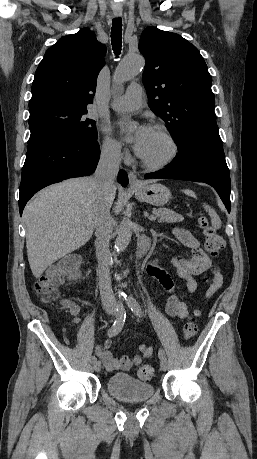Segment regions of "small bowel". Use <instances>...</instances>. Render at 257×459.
<instances>
[{"label": "small bowel", "mask_w": 257, "mask_h": 459, "mask_svg": "<svg viewBox=\"0 0 257 459\" xmlns=\"http://www.w3.org/2000/svg\"><path fill=\"white\" fill-rule=\"evenodd\" d=\"M173 234L183 245L192 251L191 257L173 259L171 263L176 268L177 275L185 281L188 292L193 294L198 288V283L194 277L210 269L212 263L206 252L201 248L200 242L190 231L183 228H175ZM146 272L148 276L157 280L160 286L168 294L165 305L166 313L173 318L185 319L189 315V307L187 303L180 300L176 294L175 284L171 276L160 267L157 262L150 263L146 268ZM223 282V276L215 272L214 279L206 292V299L220 290L223 286ZM66 305L70 313L75 317L74 322L79 323V305L71 301H67ZM193 314L195 316H201L202 311L198 308H194ZM111 344V340L106 339L96 347V354L99 356L108 372L129 370L132 366L138 365L144 359L150 357L153 352L151 346L141 344L138 346L140 355L115 359L109 350Z\"/></svg>", "instance_id": "1"}]
</instances>
